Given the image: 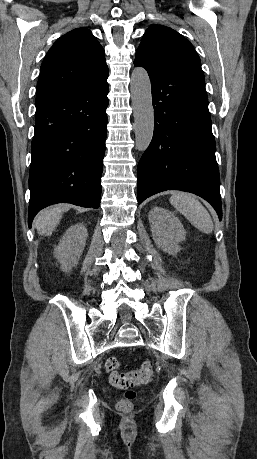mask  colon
<instances>
[{
	"label": "colon",
	"mask_w": 257,
	"mask_h": 459,
	"mask_svg": "<svg viewBox=\"0 0 257 459\" xmlns=\"http://www.w3.org/2000/svg\"><path fill=\"white\" fill-rule=\"evenodd\" d=\"M120 363L116 358H108L105 369L112 386L126 390L122 399L117 403V408L123 412H130L136 397L134 388L141 383H146L154 378V368L150 361L142 363L138 368L128 372H119Z\"/></svg>",
	"instance_id": "colon-1"
}]
</instances>
